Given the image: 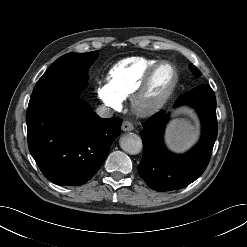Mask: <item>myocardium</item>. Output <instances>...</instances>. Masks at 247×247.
Returning a JSON list of instances; mask_svg holds the SVG:
<instances>
[{"instance_id": "obj_1", "label": "myocardium", "mask_w": 247, "mask_h": 247, "mask_svg": "<svg viewBox=\"0 0 247 247\" xmlns=\"http://www.w3.org/2000/svg\"><path fill=\"white\" fill-rule=\"evenodd\" d=\"M162 66H169L174 74L173 81L170 85V87L167 89V91L155 102L150 104H145L144 99L146 97L147 89L150 85V82L154 76V74L157 72L158 69H160ZM179 82V73L177 68L168 61H159L156 64H154L152 67H150L138 85L136 86L135 90L130 96V104L132 110L139 116H150L154 113H156L158 110H160L170 99V97L173 95L177 85Z\"/></svg>"}]
</instances>
